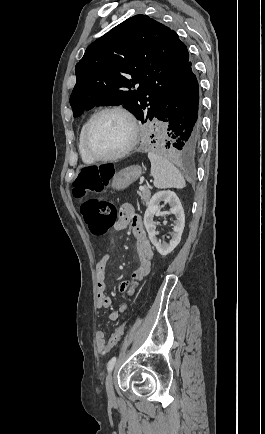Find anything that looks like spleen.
<instances>
[{
	"mask_svg": "<svg viewBox=\"0 0 265 434\" xmlns=\"http://www.w3.org/2000/svg\"><path fill=\"white\" fill-rule=\"evenodd\" d=\"M148 158L151 162V176L154 178L155 188H160V190L162 188H185V180L174 164L155 152H149Z\"/></svg>",
	"mask_w": 265,
	"mask_h": 434,
	"instance_id": "spleen-1",
	"label": "spleen"
}]
</instances>
